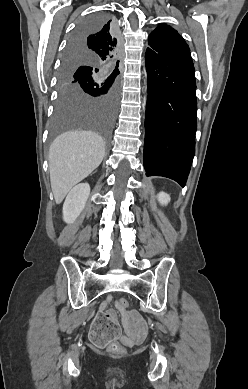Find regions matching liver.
<instances>
[{
    "label": "liver",
    "instance_id": "6515ba94",
    "mask_svg": "<svg viewBox=\"0 0 248 389\" xmlns=\"http://www.w3.org/2000/svg\"><path fill=\"white\" fill-rule=\"evenodd\" d=\"M104 155V140L92 131H68L52 142L48 161L56 204L101 164Z\"/></svg>",
    "mask_w": 248,
    "mask_h": 389
}]
</instances>
